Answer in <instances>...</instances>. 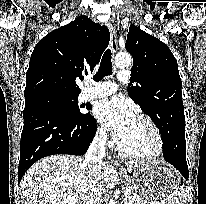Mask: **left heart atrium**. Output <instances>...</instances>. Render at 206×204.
I'll list each match as a JSON object with an SVG mask.
<instances>
[{
	"label": "left heart atrium",
	"mask_w": 206,
	"mask_h": 204,
	"mask_svg": "<svg viewBox=\"0 0 206 204\" xmlns=\"http://www.w3.org/2000/svg\"><path fill=\"white\" fill-rule=\"evenodd\" d=\"M96 116L122 139L127 134L136 113L132 104L124 97L113 96L97 105Z\"/></svg>",
	"instance_id": "left-heart-atrium-1"
}]
</instances>
